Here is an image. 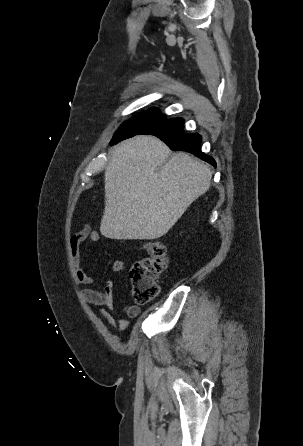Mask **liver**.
<instances>
[{"label":"liver","instance_id":"1","mask_svg":"<svg viewBox=\"0 0 303 446\" xmlns=\"http://www.w3.org/2000/svg\"><path fill=\"white\" fill-rule=\"evenodd\" d=\"M149 135L116 145L105 169L100 232L110 239L152 240L165 235L210 186L207 164Z\"/></svg>","mask_w":303,"mask_h":446}]
</instances>
